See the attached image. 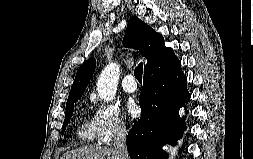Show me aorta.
<instances>
[{
    "label": "aorta",
    "instance_id": "aorta-1",
    "mask_svg": "<svg viewBox=\"0 0 253 159\" xmlns=\"http://www.w3.org/2000/svg\"><path fill=\"white\" fill-rule=\"evenodd\" d=\"M119 72V65L116 63H110L103 69L98 78V96L106 102L113 100L116 95Z\"/></svg>",
    "mask_w": 253,
    "mask_h": 159
}]
</instances>
